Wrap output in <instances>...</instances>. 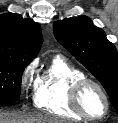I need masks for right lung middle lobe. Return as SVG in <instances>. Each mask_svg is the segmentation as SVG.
Listing matches in <instances>:
<instances>
[{"label":"right lung middle lobe","instance_id":"obj_1","mask_svg":"<svg viewBox=\"0 0 118 123\" xmlns=\"http://www.w3.org/2000/svg\"><path fill=\"white\" fill-rule=\"evenodd\" d=\"M28 64L0 57V103H12L19 99L22 73Z\"/></svg>","mask_w":118,"mask_h":123}]
</instances>
